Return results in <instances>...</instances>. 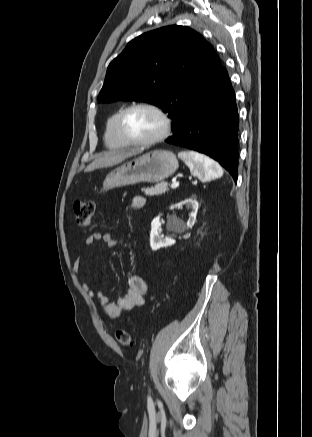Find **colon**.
Here are the masks:
<instances>
[{
    "label": "colon",
    "instance_id": "5ec220e1",
    "mask_svg": "<svg viewBox=\"0 0 312 437\" xmlns=\"http://www.w3.org/2000/svg\"><path fill=\"white\" fill-rule=\"evenodd\" d=\"M73 208L77 223L81 226L90 225L95 211L94 203L91 201H75ZM115 338L123 346H131L133 344L132 336L127 330H117Z\"/></svg>",
    "mask_w": 312,
    "mask_h": 437
}]
</instances>
